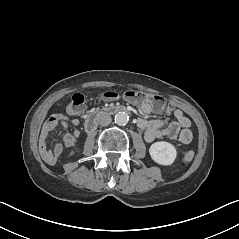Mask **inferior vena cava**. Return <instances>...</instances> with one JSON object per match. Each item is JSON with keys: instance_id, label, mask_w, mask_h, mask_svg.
I'll return each mask as SVG.
<instances>
[{"instance_id": "inferior-vena-cava-1", "label": "inferior vena cava", "mask_w": 239, "mask_h": 239, "mask_svg": "<svg viewBox=\"0 0 239 239\" xmlns=\"http://www.w3.org/2000/svg\"><path fill=\"white\" fill-rule=\"evenodd\" d=\"M101 126H108L112 122V118L109 114H103L98 120Z\"/></svg>"}]
</instances>
